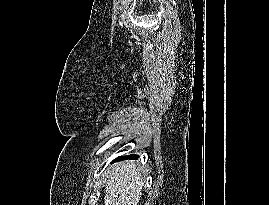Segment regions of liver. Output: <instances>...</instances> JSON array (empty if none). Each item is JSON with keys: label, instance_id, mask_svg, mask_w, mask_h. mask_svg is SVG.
I'll use <instances>...</instances> for the list:
<instances>
[{"label": "liver", "instance_id": "1", "mask_svg": "<svg viewBox=\"0 0 269 205\" xmlns=\"http://www.w3.org/2000/svg\"><path fill=\"white\" fill-rule=\"evenodd\" d=\"M143 184L140 168L135 161L113 165L106 181L104 205H137Z\"/></svg>", "mask_w": 269, "mask_h": 205}]
</instances>
